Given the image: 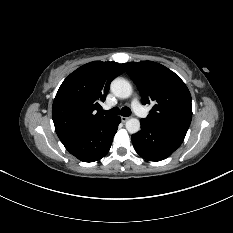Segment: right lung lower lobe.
<instances>
[{"label":"right lung lower lobe","instance_id":"obj_1","mask_svg":"<svg viewBox=\"0 0 233 233\" xmlns=\"http://www.w3.org/2000/svg\"><path fill=\"white\" fill-rule=\"evenodd\" d=\"M120 117L94 123L87 128L60 140L65 148L83 162H94L104 157L120 123Z\"/></svg>","mask_w":233,"mask_h":233}]
</instances>
